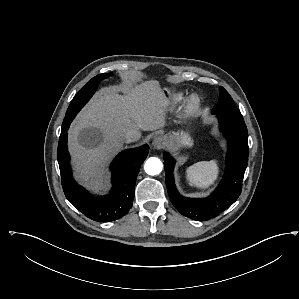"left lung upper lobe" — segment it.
Segmentation results:
<instances>
[{"mask_svg":"<svg viewBox=\"0 0 299 299\" xmlns=\"http://www.w3.org/2000/svg\"><path fill=\"white\" fill-rule=\"evenodd\" d=\"M219 92L220 98L218 103L212 109V114L225 113L243 118L229 93L223 87L219 88Z\"/></svg>","mask_w":299,"mask_h":299,"instance_id":"obj_1","label":"left lung upper lobe"}]
</instances>
